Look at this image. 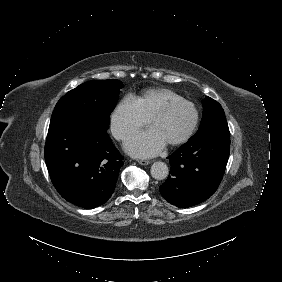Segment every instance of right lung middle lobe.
<instances>
[{
    "mask_svg": "<svg viewBox=\"0 0 282 282\" xmlns=\"http://www.w3.org/2000/svg\"><path fill=\"white\" fill-rule=\"evenodd\" d=\"M122 87V82L116 79L85 82L58 101L50 123L72 114H82L107 130Z\"/></svg>",
    "mask_w": 282,
    "mask_h": 282,
    "instance_id": "right-lung-middle-lobe-1",
    "label": "right lung middle lobe"
}]
</instances>
